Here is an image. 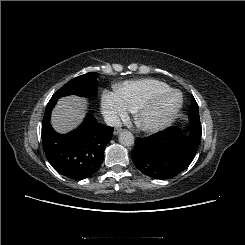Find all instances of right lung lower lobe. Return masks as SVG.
Masks as SVG:
<instances>
[{
    "instance_id": "right-lung-lower-lobe-1",
    "label": "right lung lower lobe",
    "mask_w": 245,
    "mask_h": 245,
    "mask_svg": "<svg viewBox=\"0 0 245 245\" xmlns=\"http://www.w3.org/2000/svg\"><path fill=\"white\" fill-rule=\"evenodd\" d=\"M56 101H49L42 121V142L46 157L60 174L75 180L90 177L100 167L104 149L112 139L113 128L97 123L87 115L76 130L62 135L50 124L51 111Z\"/></svg>"
}]
</instances>
